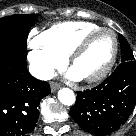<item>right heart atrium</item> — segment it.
Masks as SVG:
<instances>
[{
  "label": "right heart atrium",
  "mask_w": 136,
  "mask_h": 136,
  "mask_svg": "<svg viewBox=\"0 0 136 136\" xmlns=\"http://www.w3.org/2000/svg\"><path fill=\"white\" fill-rule=\"evenodd\" d=\"M28 47L30 68L38 78H46L65 61V56L49 44L44 32L32 30L28 36Z\"/></svg>",
  "instance_id": "d8ad5b80"
}]
</instances>
